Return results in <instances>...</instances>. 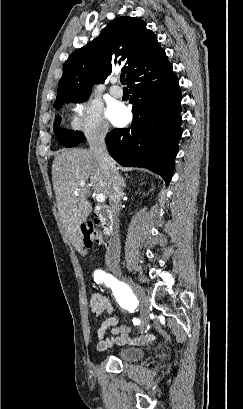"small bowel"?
<instances>
[{
    "mask_svg": "<svg viewBox=\"0 0 243 409\" xmlns=\"http://www.w3.org/2000/svg\"><path fill=\"white\" fill-rule=\"evenodd\" d=\"M89 306L96 317L104 311L109 314V317L99 325L97 330V349L99 351L107 350L116 345H145L155 341L156 336L153 333H145L135 338H130L128 334L133 329L125 323L118 324V319L115 317V308L108 295L101 292L93 293ZM108 329H111L112 335L110 337H106Z\"/></svg>",
    "mask_w": 243,
    "mask_h": 409,
    "instance_id": "c3829d8e",
    "label": "small bowel"
}]
</instances>
